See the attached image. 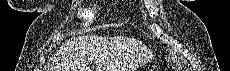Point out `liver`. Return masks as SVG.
Here are the masks:
<instances>
[{
	"mask_svg": "<svg viewBox=\"0 0 230 71\" xmlns=\"http://www.w3.org/2000/svg\"><path fill=\"white\" fill-rule=\"evenodd\" d=\"M136 52V55H133ZM153 53L128 38L78 36L67 40L55 53L48 71H134L139 64L152 60Z\"/></svg>",
	"mask_w": 230,
	"mask_h": 71,
	"instance_id": "1",
	"label": "liver"
}]
</instances>
